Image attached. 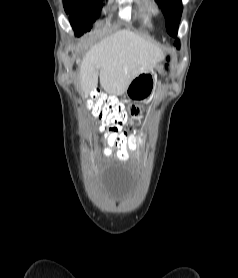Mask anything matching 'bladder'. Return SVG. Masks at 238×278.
Instances as JSON below:
<instances>
[{
    "instance_id": "bladder-1",
    "label": "bladder",
    "mask_w": 238,
    "mask_h": 278,
    "mask_svg": "<svg viewBox=\"0 0 238 278\" xmlns=\"http://www.w3.org/2000/svg\"><path fill=\"white\" fill-rule=\"evenodd\" d=\"M129 173L128 169H119V167H110L103 172L102 180H133V175H126ZM119 174V175H118ZM110 189L113 195L122 196L125 191L129 190L128 186H134V181H110ZM125 186V187H123Z\"/></svg>"
}]
</instances>
